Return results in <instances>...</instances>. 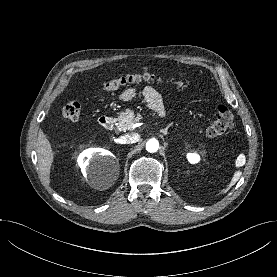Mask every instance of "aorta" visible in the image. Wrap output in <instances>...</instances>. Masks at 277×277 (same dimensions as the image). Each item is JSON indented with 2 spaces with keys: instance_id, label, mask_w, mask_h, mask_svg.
<instances>
[{
  "instance_id": "762f6f07",
  "label": "aorta",
  "mask_w": 277,
  "mask_h": 277,
  "mask_svg": "<svg viewBox=\"0 0 277 277\" xmlns=\"http://www.w3.org/2000/svg\"><path fill=\"white\" fill-rule=\"evenodd\" d=\"M159 148V142L157 139L152 138L149 139L146 143V150L150 153H154L158 150Z\"/></svg>"
}]
</instances>
